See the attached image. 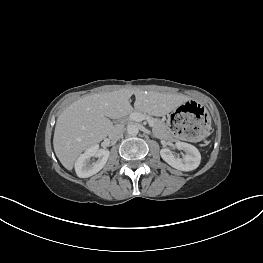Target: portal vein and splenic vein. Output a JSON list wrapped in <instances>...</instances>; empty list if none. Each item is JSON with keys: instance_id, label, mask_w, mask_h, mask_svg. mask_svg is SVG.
Returning a JSON list of instances; mask_svg holds the SVG:
<instances>
[{"instance_id": "18ae733b", "label": "portal vein and splenic vein", "mask_w": 263, "mask_h": 263, "mask_svg": "<svg viewBox=\"0 0 263 263\" xmlns=\"http://www.w3.org/2000/svg\"><path fill=\"white\" fill-rule=\"evenodd\" d=\"M130 117L132 120L137 121V122L147 120L150 127H153L154 125V122L149 117H146L141 113H138V112L131 113Z\"/></svg>"}]
</instances>
